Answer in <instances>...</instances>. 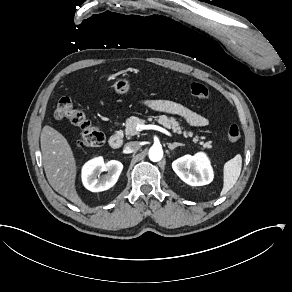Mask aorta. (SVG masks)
I'll return each mask as SVG.
<instances>
[{
  "instance_id": "obj_1",
  "label": "aorta",
  "mask_w": 292,
  "mask_h": 292,
  "mask_svg": "<svg viewBox=\"0 0 292 292\" xmlns=\"http://www.w3.org/2000/svg\"><path fill=\"white\" fill-rule=\"evenodd\" d=\"M163 157V150L159 146H152L149 150V158L151 161H160Z\"/></svg>"
}]
</instances>
